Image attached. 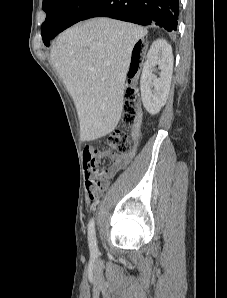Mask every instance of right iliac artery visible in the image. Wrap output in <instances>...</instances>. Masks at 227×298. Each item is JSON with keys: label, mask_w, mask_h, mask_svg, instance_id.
I'll return each instance as SVG.
<instances>
[{"label": "right iliac artery", "mask_w": 227, "mask_h": 298, "mask_svg": "<svg viewBox=\"0 0 227 298\" xmlns=\"http://www.w3.org/2000/svg\"><path fill=\"white\" fill-rule=\"evenodd\" d=\"M88 241L89 247L92 255L97 254V241H96V232H95V222L92 218L88 224Z\"/></svg>", "instance_id": "82829eb1"}]
</instances>
